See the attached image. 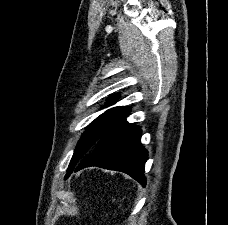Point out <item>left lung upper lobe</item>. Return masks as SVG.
<instances>
[{
    "mask_svg": "<svg viewBox=\"0 0 228 225\" xmlns=\"http://www.w3.org/2000/svg\"><path fill=\"white\" fill-rule=\"evenodd\" d=\"M114 98H116V96L110 97V99ZM110 104H113V102H110ZM130 110L131 108L128 106L109 109L97 117L86 128V131L83 133L74 151L65 179L70 176L72 171L81 162V160L93 150L95 144L103 135V133L119 120H121L124 116H126Z\"/></svg>",
    "mask_w": 228,
    "mask_h": 225,
    "instance_id": "1",
    "label": "left lung upper lobe"
}]
</instances>
